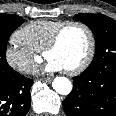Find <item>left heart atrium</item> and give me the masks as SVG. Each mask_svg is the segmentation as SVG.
<instances>
[{
	"label": "left heart atrium",
	"instance_id": "1",
	"mask_svg": "<svg viewBox=\"0 0 116 116\" xmlns=\"http://www.w3.org/2000/svg\"><path fill=\"white\" fill-rule=\"evenodd\" d=\"M63 70H64L63 66L53 59H48L44 67V72L46 73L59 72Z\"/></svg>",
	"mask_w": 116,
	"mask_h": 116
}]
</instances>
